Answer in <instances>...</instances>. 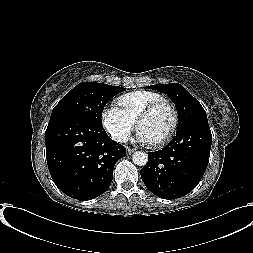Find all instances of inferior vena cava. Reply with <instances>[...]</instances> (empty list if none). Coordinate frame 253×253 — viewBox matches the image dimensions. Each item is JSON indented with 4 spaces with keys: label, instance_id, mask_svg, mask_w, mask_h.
Here are the masks:
<instances>
[{
    "label": "inferior vena cava",
    "instance_id": "obj_1",
    "mask_svg": "<svg viewBox=\"0 0 253 253\" xmlns=\"http://www.w3.org/2000/svg\"><path fill=\"white\" fill-rule=\"evenodd\" d=\"M127 140H128L127 136H122V137L119 138L118 141H120V142H126Z\"/></svg>",
    "mask_w": 253,
    "mask_h": 253
}]
</instances>
